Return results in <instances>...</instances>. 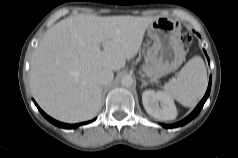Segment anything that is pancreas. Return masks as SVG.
<instances>
[{"label":"pancreas","instance_id":"pancreas-1","mask_svg":"<svg viewBox=\"0 0 238 158\" xmlns=\"http://www.w3.org/2000/svg\"><path fill=\"white\" fill-rule=\"evenodd\" d=\"M143 70H144V72H146L148 75H154L155 73H154V70L150 67V66H145L144 68H143Z\"/></svg>","mask_w":238,"mask_h":158}]
</instances>
